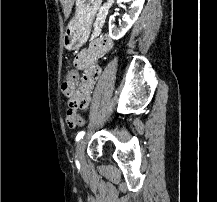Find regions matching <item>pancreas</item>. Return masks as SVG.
Masks as SVG:
<instances>
[{
  "mask_svg": "<svg viewBox=\"0 0 217 202\" xmlns=\"http://www.w3.org/2000/svg\"><path fill=\"white\" fill-rule=\"evenodd\" d=\"M101 30H93L91 33V37L89 38L91 41H93L95 38H98V35H101Z\"/></svg>",
  "mask_w": 217,
  "mask_h": 202,
  "instance_id": "cf45deb5",
  "label": "pancreas"
}]
</instances>
